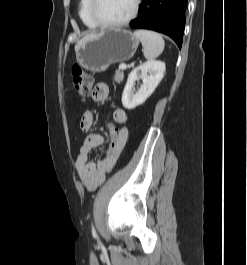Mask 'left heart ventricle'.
Returning <instances> with one entry per match:
<instances>
[{
	"label": "left heart ventricle",
	"mask_w": 247,
	"mask_h": 265,
	"mask_svg": "<svg viewBox=\"0 0 247 265\" xmlns=\"http://www.w3.org/2000/svg\"><path fill=\"white\" fill-rule=\"evenodd\" d=\"M134 0H98L97 14L105 22H117L132 12Z\"/></svg>",
	"instance_id": "1"
}]
</instances>
